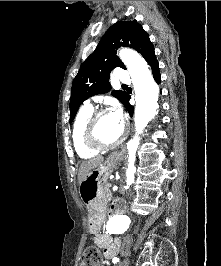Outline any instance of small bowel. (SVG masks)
<instances>
[{
    "label": "small bowel",
    "instance_id": "1",
    "mask_svg": "<svg viewBox=\"0 0 221 266\" xmlns=\"http://www.w3.org/2000/svg\"><path fill=\"white\" fill-rule=\"evenodd\" d=\"M95 242L101 248L105 259L113 258L119 252V240L107 233H99L95 235Z\"/></svg>",
    "mask_w": 221,
    "mask_h": 266
}]
</instances>
